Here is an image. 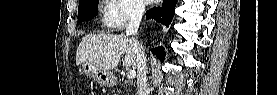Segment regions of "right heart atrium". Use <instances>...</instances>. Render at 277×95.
<instances>
[{
    "label": "right heart atrium",
    "mask_w": 277,
    "mask_h": 95,
    "mask_svg": "<svg viewBox=\"0 0 277 95\" xmlns=\"http://www.w3.org/2000/svg\"><path fill=\"white\" fill-rule=\"evenodd\" d=\"M114 9L107 14V26L112 30H122L128 22L139 18L143 8L138 0H110Z\"/></svg>",
    "instance_id": "d8ad5b80"
}]
</instances>
